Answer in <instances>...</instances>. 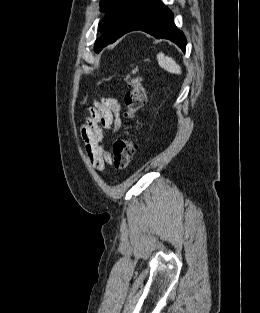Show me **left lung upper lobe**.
<instances>
[{
  "label": "left lung upper lobe",
  "mask_w": 260,
  "mask_h": 313,
  "mask_svg": "<svg viewBox=\"0 0 260 313\" xmlns=\"http://www.w3.org/2000/svg\"><path fill=\"white\" fill-rule=\"evenodd\" d=\"M153 2L154 0H101L100 10L106 11V16L99 23V27L105 34L96 41L95 51L99 52L121 37L132 22Z\"/></svg>",
  "instance_id": "5c2ea615"
}]
</instances>
